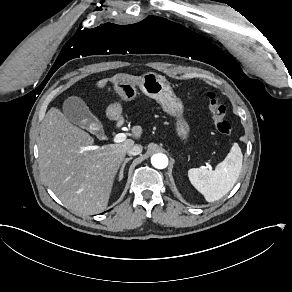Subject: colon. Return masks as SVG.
I'll use <instances>...</instances> for the list:
<instances>
[{"label": "colon", "instance_id": "colon-1", "mask_svg": "<svg viewBox=\"0 0 292 292\" xmlns=\"http://www.w3.org/2000/svg\"><path fill=\"white\" fill-rule=\"evenodd\" d=\"M208 109L211 113L215 129L223 135L231 132L230 123L226 120V108L213 92L206 94Z\"/></svg>", "mask_w": 292, "mask_h": 292}]
</instances>
